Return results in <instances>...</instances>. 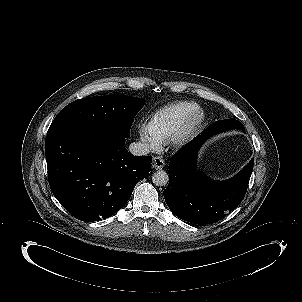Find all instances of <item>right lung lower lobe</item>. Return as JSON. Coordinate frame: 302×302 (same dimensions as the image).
Masks as SVG:
<instances>
[{
    "instance_id": "right-lung-lower-lobe-1",
    "label": "right lung lower lobe",
    "mask_w": 302,
    "mask_h": 302,
    "mask_svg": "<svg viewBox=\"0 0 302 302\" xmlns=\"http://www.w3.org/2000/svg\"><path fill=\"white\" fill-rule=\"evenodd\" d=\"M125 138L101 124L77 123L48 130L50 188L75 218L92 222L120 210L151 169L152 157L133 156Z\"/></svg>"
}]
</instances>
